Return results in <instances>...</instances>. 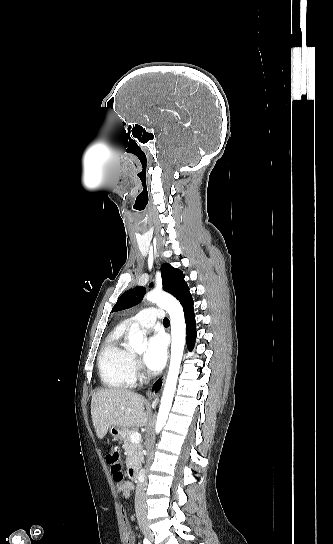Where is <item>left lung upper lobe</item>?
Masks as SVG:
<instances>
[{
	"instance_id": "obj_1",
	"label": "left lung upper lobe",
	"mask_w": 333,
	"mask_h": 544,
	"mask_svg": "<svg viewBox=\"0 0 333 544\" xmlns=\"http://www.w3.org/2000/svg\"><path fill=\"white\" fill-rule=\"evenodd\" d=\"M162 284L165 291L176 297L182 306L192 300L189 288L184 280V274L181 270L171 267L164 263L161 266ZM145 294L143 287H136L124 292L114 305L112 312L131 308L141 302Z\"/></svg>"
}]
</instances>
